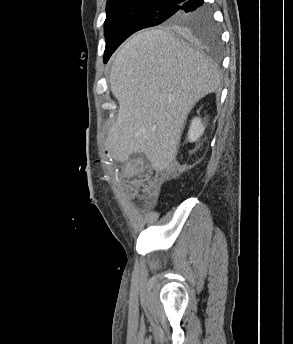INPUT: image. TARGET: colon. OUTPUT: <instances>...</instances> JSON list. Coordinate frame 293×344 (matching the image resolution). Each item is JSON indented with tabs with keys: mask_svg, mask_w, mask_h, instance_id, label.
Here are the masks:
<instances>
[{
	"mask_svg": "<svg viewBox=\"0 0 293 344\" xmlns=\"http://www.w3.org/2000/svg\"><path fill=\"white\" fill-rule=\"evenodd\" d=\"M133 193L143 200H150L155 195V185L151 178H144L133 182Z\"/></svg>",
	"mask_w": 293,
	"mask_h": 344,
	"instance_id": "5ec220e1",
	"label": "colon"
}]
</instances>
